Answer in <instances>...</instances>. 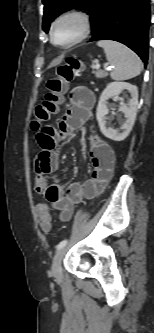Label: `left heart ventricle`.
<instances>
[{"label":"left heart ventricle","instance_id":"1","mask_svg":"<svg viewBox=\"0 0 154 333\" xmlns=\"http://www.w3.org/2000/svg\"><path fill=\"white\" fill-rule=\"evenodd\" d=\"M78 22L74 19H67L60 22L55 30V39L60 43L70 41L78 31Z\"/></svg>","mask_w":154,"mask_h":333}]
</instances>
